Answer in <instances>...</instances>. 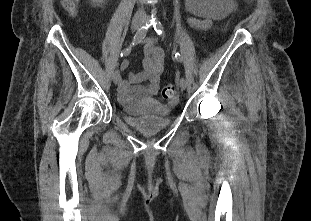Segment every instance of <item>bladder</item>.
<instances>
[{"mask_svg": "<svg viewBox=\"0 0 311 221\" xmlns=\"http://www.w3.org/2000/svg\"><path fill=\"white\" fill-rule=\"evenodd\" d=\"M120 108L123 122L142 135H155L173 123L172 110L158 98L141 106L122 103Z\"/></svg>", "mask_w": 311, "mask_h": 221, "instance_id": "bladder-1", "label": "bladder"}]
</instances>
